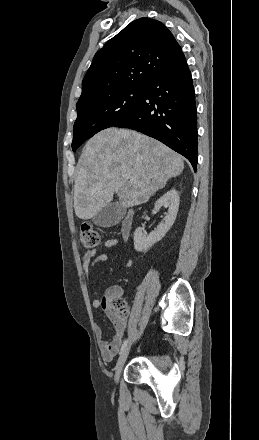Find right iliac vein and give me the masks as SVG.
<instances>
[{
    "label": "right iliac vein",
    "mask_w": 259,
    "mask_h": 440,
    "mask_svg": "<svg viewBox=\"0 0 259 440\" xmlns=\"http://www.w3.org/2000/svg\"><path fill=\"white\" fill-rule=\"evenodd\" d=\"M129 351H130V344L121 353V355H120V357H119V359L117 361V364H116V367H115V375H114V380H115L116 383L119 380L122 368H123V366H124V364L126 362V359L128 357Z\"/></svg>",
    "instance_id": "right-iliac-vein-1"
}]
</instances>
